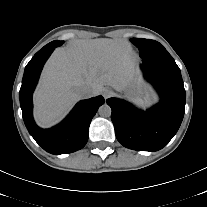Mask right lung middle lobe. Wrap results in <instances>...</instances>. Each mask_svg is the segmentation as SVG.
Masks as SVG:
<instances>
[{"label":"right lung middle lobe","mask_w":207,"mask_h":207,"mask_svg":"<svg viewBox=\"0 0 207 207\" xmlns=\"http://www.w3.org/2000/svg\"><path fill=\"white\" fill-rule=\"evenodd\" d=\"M62 44H63V41L55 40V41H52L49 44L45 45L41 50L48 49L50 47H57V46H60Z\"/></svg>","instance_id":"right-lung-middle-lobe-1"}]
</instances>
